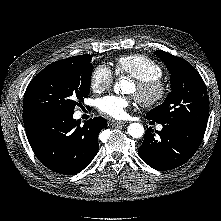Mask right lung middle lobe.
Segmentation results:
<instances>
[{"label":"right lung middle lobe","instance_id":"obj_1","mask_svg":"<svg viewBox=\"0 0 221 221\" xmlns=\"http://www.w3.org/2000/svg\"><path fill=\"white\" fill-rule=\"evenodd\" d=\"M91 55L79 61H56L44 68L29 83L23 102V112L44 111L74 113L88 98L93 65Z\"/></svg>","mask_w":221,"mask_h":221}]
</instances>
